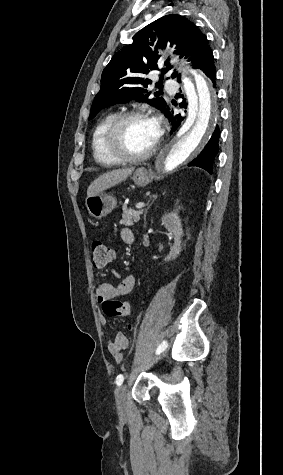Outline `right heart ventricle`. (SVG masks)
I'll list each match as a JSON object with an SVG mask.
<instances>
[{
	"label": "right heart ventricle",
	"mask_w": 283,
	"mask_h": 475,
	"mask_svg": "<svg viewBox=\"0 0 283 475\" xmlns=\"http://www.w3.org/2000/svg\"><path fill=\"white\" fill-rule=\"evenodd\" d=\"M118 115L117 112L108 113L98 121L93 129L91 136V149L97 162H104L103 157H110L107 151H102V145L109 126Z\"/></svg>",
	"instance_id": "right-heart-ventricle-1"
}]
</instances>
